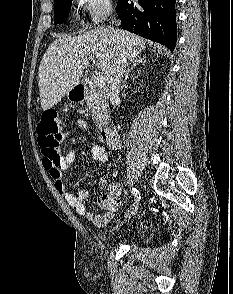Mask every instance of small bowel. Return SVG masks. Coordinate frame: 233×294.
I'll return each instance as SVG.
<instances>
[{
  "label": "small bowel",
  "instance_id": "c3829d8e",
  "mask_svg": "<svg viewBox=\"0 0 233 294\" xmlns=\"http://www.w3.org/2000/svg\"><path fill=\"white\" fill-rule=\"evenodd\" d=\"M86 129V123L82 120L77 121V126L72 129H67L63 132V138H67L77 131ZM92 157L100 162H106L108 159V153L106 147L103 144H98L92 148ZM76 160V149H59V156L47 157L44 155L43 167L48 172L50 178L54 182L55 189L64 197L65 201L81 216L87 219L96 227L105 226L113 217V213L106 206V202L109 200L119 201L118 195L120 192V186L117 183L109 184L105 178H99L98 187L100 189H108V193L98 197V204L106 208L100 214H93L88 211L85 206V200L88 198V191L85 189H79L75 193L69 192L63 181L62 172L67 170ZM120 202V201H119Z\"/></svg>",
  "mask_w": 233,
  "mask_h": 294
}]
</instances>
